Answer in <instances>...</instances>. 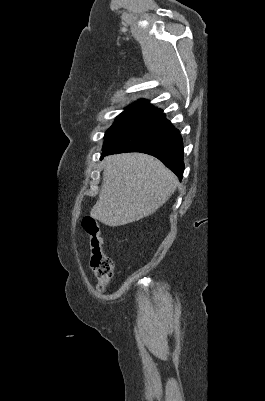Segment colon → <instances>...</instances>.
<instances>
[{
  "instance_id": "1",
  "label": "colon",
  "mask_w": 265,
  "mask_h": 401,
  "mask_svg": "<svg viewBox=\"0 0 265 401\" xmlns=\"http://www.w3.org/2000/svg\"><path fill=\"white\" fill-rule=\"evenodd\" d=\"M82 227L90 239V266L97 280V289L102 291L113 275V262L105 254L98 221L92 217L82 220Z\"/></svg>"
}]
</instances>
